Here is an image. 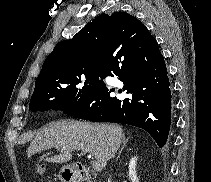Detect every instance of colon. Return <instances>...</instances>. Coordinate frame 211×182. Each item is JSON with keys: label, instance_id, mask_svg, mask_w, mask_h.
<instances>
[{"label": "colon", "instance_id": "1", "mask_svg": "<svg viewBox=\"0 0 211 182\" xmlns=\"http://www.w3.org/2000/svg\"><path fill=\"white\" fill-rule=\"evenodd\" d=\"M43 173H44V166L41 165V164L37 165V167H36V174L37 175H42Z\"/></svg>", "mask_w": 211, "mask_h": 182}]
</instances>
